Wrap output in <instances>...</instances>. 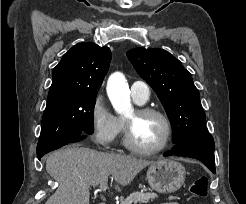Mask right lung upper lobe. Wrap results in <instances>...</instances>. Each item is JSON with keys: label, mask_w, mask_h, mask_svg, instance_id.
Instances as JSON below:
<instances>
[{"label": "right lung upper lobe", "mask_w": 246, "mask_h": 204, "mask_svg": "<svg viewBox=\"0 0 246 204\" xmlns=\"http://www.w3.org/2000/svg\"><path fill=\"white\" fill-rule=\"evenodd\" d=\"M108 47L87 42L73 46L53 69L48 101L74 95L96 94L109 69Z\"/></svg>", "instance_id": "right-lung-upper-lobe-1"}]
</instances>
